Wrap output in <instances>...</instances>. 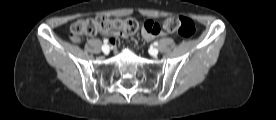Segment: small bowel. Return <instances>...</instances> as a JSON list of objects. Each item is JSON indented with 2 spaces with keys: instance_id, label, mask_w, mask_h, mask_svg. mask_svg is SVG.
<instances>
[{
  "instance_id": "1",
  "label": "small bowel",
  "mask_w": 276,
  "mask_h": 120,
  "mask_svg": "<svg viewBox=\"0 0 276 120\" xmlns=\"http://www.w3.org/2000/svg\"><path fill=\"white\" fill-rule=\"evenodd\" d=\"M161 34V33H160ZM159 34V35H160ZM158 35H151L149 33H147L145 30L142 31V37L145 39V40H151L153 39L154 37H156Z\"/></svg>"
}]
</instances>
